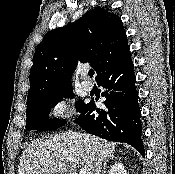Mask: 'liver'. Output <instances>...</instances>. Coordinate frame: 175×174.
I'll return each mask as SVG.
<instances>
[{
  "label": "liver",
  "mask_w": 175,
  "mask_h": 174,
  "mask_svg": "<svg viewBox=\"0 0 175 174\" xmlns=\"http://www.w3.org/2000/svg\"><path fill=\"white\" fill-rule=\"evenodd\" d=\"M115 143L100 137L73 131L55 134L31 143L22 153L19 174H74L68 157H75L86 174H90L94 158L113 155Z\"/></svg>",
  "instance_id": "1"
}]
</instances>
